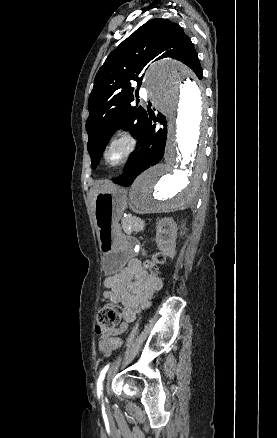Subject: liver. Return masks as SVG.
Returning <instances> with one entry per match:
<instances>
[{
    "label": "liver",
    "mask_w": 277,
    "mask_h": 438,
    "mask_svg": "<svg viewBox=\"0 0 277 438\" xmlns=\"http://www.w3.org/2000/svg\"><path fill=\"white\" fill-rule=\"evenodd\" d=\"M100 192H106V190H101V188H91L90 194L91 196H97V194H100Z\"/></svg>",
    "instance_id": "6515ba94"
}]
</instances>
